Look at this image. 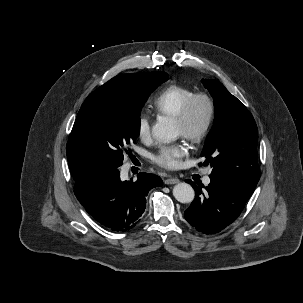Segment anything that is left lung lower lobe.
<instances>
[{
  "label": "left lung lower lobe",
  "mask_w": 303,
  "mask_h": 303,
  "mask_svg": "<svg viewBox=\"0 0 303 303\" xmlns=\"http://www.w3.org/2000/svg\"><path fill=\"white\" fill-rule=\"evenodd\" d=\"M211 182L202 192V185L186 180L195 193V199L185 211V219L198 231L220 232L241 213L252 195L248 189L217 174H210Z\"/></svg>",
  "instance_id": "0a47b994"
}]
</instances>
